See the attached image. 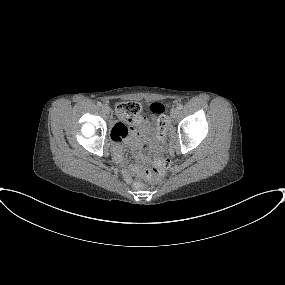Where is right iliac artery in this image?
<instances>
[{"label":"right iliac artery","instance_id":"82829eb1","mask_svg":"<svg viewBox=\"0 0 285 285\" xmlns=\"http://www.w3.org/2000/svg\"><path fill=\"white\" fill-rule=\"evenodd\" d=\"M101 105H102V104H101V102H97V106H99V107H100Z\"/></svg>","mask_w":285,"mask_h":285}]
</instances>
